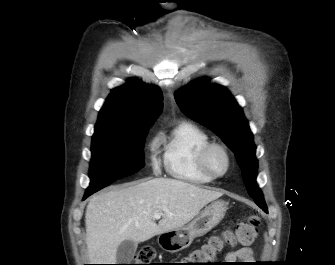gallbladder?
<instances>
[{
	"label": "gallbladder",
	"instance_id": "obj_1",
	"mask_svg": "<svg viewBox=\"0 0 335 265\" xmlns=\"http://www.w3.org/2000/svg\"><path fill=\"white\" fill-rule=\"evenodd\" d=\"M137 244L132 240L123 241L117 249L116 261L118 264H127L135 256Z\"/></svg>",
	"mask_w": 335,
	"mask_h": 265
}]
</instances>
